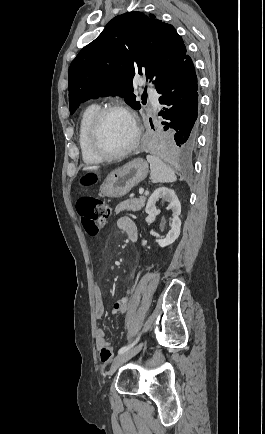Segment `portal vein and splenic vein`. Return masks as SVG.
<instances>
[{
  "label": "portal vein and splenic vein",
  "mask_w": 265,
  "mask_h": 434,
  "mask_svg": "<svg viewBox=\"0 0 265 434\" xmlns=\"http://www.w3.org/2000/svg\"><path fill=\"white\" fill-rule=\"evenodd\" d=\"M143 192H144L143 188H140L139 194H143Z\"/></svg>",
  "instance_id": "obj_1"
}]
</instances>
